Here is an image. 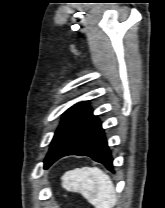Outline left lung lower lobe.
<instances>
[{"instance_id":"1","label":"left lung lower lobe","mask_w":165,"mask_h":208,"mask_svg":"<svg viewBox=\"0 0 165 208\" xmlns=\"http://www.w3.org/2000/svg\"><path fill=\"white\" fill-rule=\"evenodd\" d=\"M89 156L93 160L102 163L114 172L113 159L104 136V130L96 116H93L80 130L68 151L64 154Z\"/></svg>"}]
</instances>
